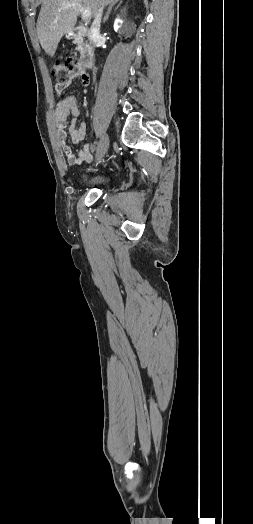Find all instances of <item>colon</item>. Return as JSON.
Instances as JSON below:
<instances>
[{
	"mask_svg": "<svg viewBox=\"0 0 253 524\" xmlns=\"http://www.w3.org/2000/svg\"><path fill=\"white\" fill-rule=\"evenodd\" d=\"M82 67V62L71 53L66 54L62 62L54 63L51 72L56 80V89L64 90L73 79L79 86H88L90 78Z\"/></svg>",
	"mask_w": 253,
	"mask_h": 524,
	"instance_id": "obj_1",
	"label": "colon"
}]
</instances>
